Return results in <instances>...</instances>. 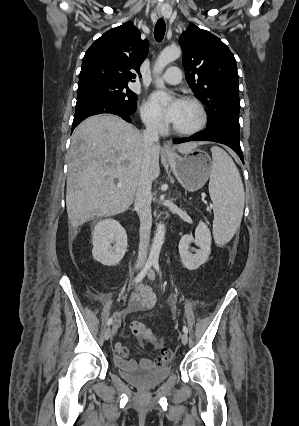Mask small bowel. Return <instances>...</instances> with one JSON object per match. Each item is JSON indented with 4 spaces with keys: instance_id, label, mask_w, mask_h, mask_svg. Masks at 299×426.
Returning a JSON list of instances; mask_svg holds the SVG:
<instances>
[{
    "instance_id": "1",
    "label": "small bowel",
    "mask_w": 299,
    "mask_h": 426,
    "mask_svg": "<svg viewBox=\"0 0 299 426\" xmlns=\"http://www.w3.org/2000/svg\"><path fill=\"white\" fill-rule=\"evenodd\" d=\"M156 303V296L152 290L145 286L139 285L131 296L130 304L125 312L115 314L114 329L117 330L121 326L122 318L133 312L145 311L153 308ZM115 364L123 370H133L136 368H152L161 366L172 357V352L161 350V353L155 358H144L140 361L128 359V349L120 343L115 345Z\"/></svg>"
}]
</instances>
